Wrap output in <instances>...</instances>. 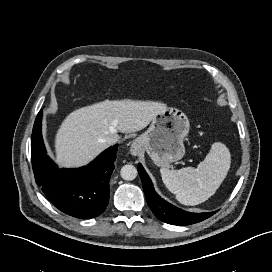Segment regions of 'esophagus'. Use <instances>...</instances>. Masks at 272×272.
<instances>
[{
    "mask_svg": "<svg viewBox=\"0 0 272 272\" xmlns=\"http://www.w3.org/2000/svg\"><path fill=\"white\" fill-rule=\"evenodd\" d=\"M130 152H131L132 155H136L137 154L138 149H137L136 143L132 144Z\"/></svg>",
    "mask_w": 272,
    "mask_h": 272,
    "instance_id": "obj_1",
    "label": "esophagus"
}]
</instances>
